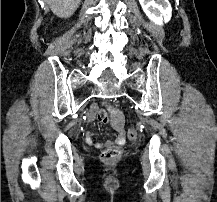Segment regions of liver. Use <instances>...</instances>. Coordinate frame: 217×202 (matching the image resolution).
Here are the masks:
<instances>
[{
	"mask_svg": "<svg viewBox=\"0 0 217 202\" xmlns=\"http://www.w3.org/2000/svg\"><path fill=\"white\" fill-rule=\"evenodd\" d=\"M58 18H70L77 10L81 0H44Z\"/></svg>",
	"mask_w": 217,
	"mask_h": 202,
	"instance_id": "6515ba94",
	"label": "liver"
}]
</instances>
